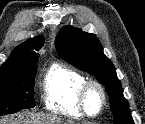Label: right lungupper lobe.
I'll list each match as a JSON object with an SVG mask.
<instances>
[{"label": "right lung upper lobe", "instance_id": "cb5924a9", "mask_svg": "<svg viewBox=\"0 0 145 124\" xmlns=\"http://www.w3.org/2000/svg\"><path fill=\"white\" fill-rule=\"evenodd\" d=\"M44 44V37L38 36L28 39L23 44L16 47L9 59L0 67V74L15 73L31 67L39 59L36 51Z\"/></svg>", "mask_w": 145, "mask_h": 124}]
</instances>
